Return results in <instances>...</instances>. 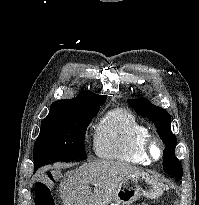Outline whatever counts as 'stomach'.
Masks as SVG:
<instances>
[{
    "instance_id": "0dacf381",
    "label": "stomach",
    "mask_w": 199,
    "mask_h": 205,
    "mask_svg": "<svg viewBox=\"0 0 199 205\" xmlns=\"http://www.w3.org/2000/svg\"><path fill=\"white\" fill-rule=\"evenodd\" d=\"M164 185L152 176L129 175L121 182L111 205H131L141 196L155 199L162 195Z\"/></svg>"
}]
</instances>
